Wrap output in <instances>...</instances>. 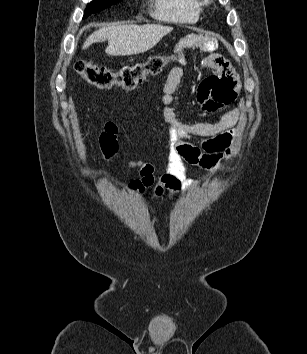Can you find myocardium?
Masks as SVG:
<instances>
[{
	"mask_svg": "<svg viewBox=\"0 0 307 354\" xmlns=\"http://www.w3.org/2000/svg\"><path fill=\"white\" fill-rule=\"evenodd\" d=\"M205 2H207V0H205V1L203 2V4H204Z\"/></svg>",
	"mask_w": 307,
	"mask_h": 354,
	"instance_id": "obj_1",
	"label": "myocardium"
}]
</instances>
